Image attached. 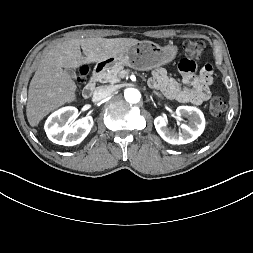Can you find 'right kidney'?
I'll list each match as a JSON object with an SVG mask.
<instances>
[{
  "label": "right kidney",
  "instance_id": "right-kidney-1",
  "mask_svg": "<svg viewBox=\"0 0 253 253\" xmlns=\"http://www.w3.org/2000/svg\"><path fill=\"white\" fill-rule=\"evenodd\" d=\"M78 110L75 107H63L52 113L45 123L48 138L60 145L74 146L81 143L89 134L93 125L91 116L75 121Z\"/></svg>",
  "mask_w": 253,
  "mask_h": 253
}]
</instances>
